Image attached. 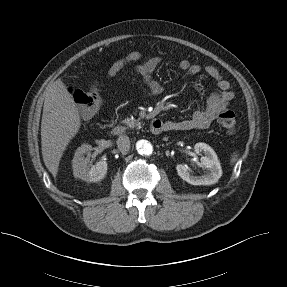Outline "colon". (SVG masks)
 <instances>
[{
  "mask_svg": "<svg viewBox=\"0 0 287 287\" xmlns=\"http://www.w3.org/2000/svg\"><path fill=\"white\" fill-rule=\"evenodd\" d=\"M72 95L83 117L89 118L97 112L101 98L96 85H91L87 90H74ZM217 120L228 134L235 132L237 118L233 111L228 109L221 110L218 113Z\"/></svg>",
  "mask_w": 287,
  "mask_h": 287,
  "instance_id": "colon-1",
  "label": "colon"
}]
</instances>
